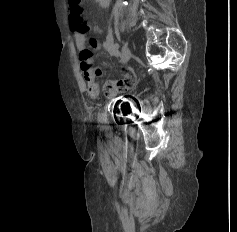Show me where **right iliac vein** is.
Masks as SVG:
<instances>
[{"label": "right iliac vein", "mask_w": 237, "mask_h": 232, "mask_svg": "<svg viewBox=\"0 0 237 232\" xmlns=\"http://www.w3.org/2000/svg\"><path fill=\"white\" fill-rule=\"evenodd\" d=\"M131 56V51L127 44H124L122 47V54H121V63L126 64Z\"/></svg>", "instance_id": "obj_1"}]
</instances>
